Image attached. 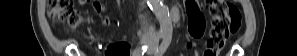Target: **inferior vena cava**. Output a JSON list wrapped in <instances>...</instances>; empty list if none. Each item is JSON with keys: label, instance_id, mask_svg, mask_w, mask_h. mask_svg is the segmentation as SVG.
<instances>
[{"label": "inferior vena cava", "instance_id": "602c4592", "mask_svg": "<svg viewBox=\"0 0 297 56\" xmlns=\"http://www.w3.org/2000/svg\"><path fill=\"white\" fill-rule=\"evenodd\" d=\"M140 19H141L143 25H145V24H146V26L148 25V22H147L145 16H142V15H141V16H140ZM151 34H153V33H151Z\"/></svg>", "mask_w": 297, "mask_h": 56}]
</instances>
